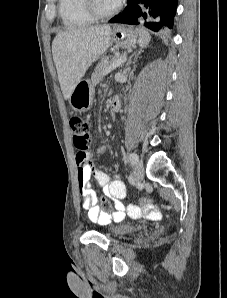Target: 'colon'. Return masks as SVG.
Segmentation results:
<instances>
[{"label": "colon", "mask_w": 227, "mask_h": 298, "mask_svg": "<svg viewBox=\"0 0 227 298\" xmlns=\"http://www.w3.org/2000/svg\"><path fill=\"white\" fill-rule=\"evenodd\" d=\"M70 128L73 137V142L75 147L79 152H86L90 145V124L87 120L82 117L74 116L70 119ZM101 205L104 208L110 207V201L107 197L101 198ZM150 201V196H143V207H153V202ZM111 213L113 210L109 208L107 210ZM132 215L136 216L138 213H133Z\"/></svg>", "instance_id": "colon-1"}]
</instances>
